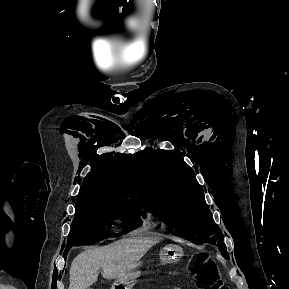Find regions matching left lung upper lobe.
Returning <instances> with one entry per match:
<instances>
[{"instance_id": "obj_1", "label": "left lung upper lobe", "mask_w": 289, "mask_h": 289, "mask_svg": "<svg viewBox=\"0 0 289 289\" xmlns=\"http://www.w3.org/2000/svg\"><path fill=\"white\" fill-rule=\"evenodd\" d=\"M137 159L141 175L139 206L166 225L176 226L180 235L192 243L216 244L228 259L223 234L211 216L203 189L181 155L148 148Z\"/></svg>"}]
</instances>
